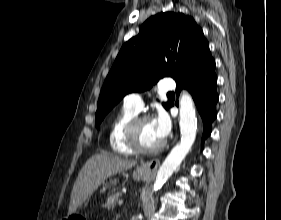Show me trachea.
<instances>
[{"label": "trachea", "instance_id": "3493384b", "mask_svg": "<svg viewBox=\"0 0 281 220\" xmlns=\"http://www.w3.org/2000/svg\"><path fill=\"white\" fill-rule=\"evenodd\" d=\"M173 94H174L173 92H169V93H168V95H173Z\"/></svg>", "mask_w": 281, "mask_h": 220}]
</instances>
